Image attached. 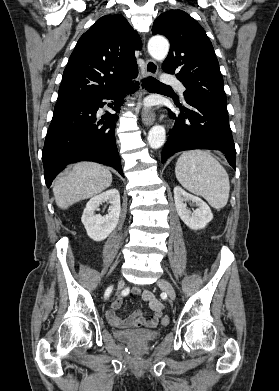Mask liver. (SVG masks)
Masks as SVG:
<instances>
[{
	"instance_id": "obj_1",
	"label": "liver",
	"mask_w": 279,
	"mask_h": 391,
	"mask_svg": "<svg viewBox=\"0 0 279 391\" xmlns=\"http://www.w3.org/2000/svg\"><path fill=\"white\" fill-rule=\"evenodd\" d=\"M71 168L53 186L56 204L61 209H67L76 202L99 194L112 183V174L100 164L79 162Z\"/></svg>"
}]
</instances>
